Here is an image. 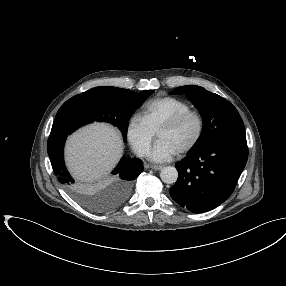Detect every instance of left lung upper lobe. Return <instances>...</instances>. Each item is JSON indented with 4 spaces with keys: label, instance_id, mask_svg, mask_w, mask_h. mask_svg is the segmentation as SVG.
<instances>
[{
    "label": "left lung upper lobe",
    "instance_id": "obj_1",
    "mask_svg": "<svg viewBox=\"0 0 286 286\" xmlns=\"http://www.w3.org/2000/svg\"><path fill=\"white\" fill-rule=\"evenodd\" d=\"M171 94H185L202 116L203 130L191 150H197L217 141L246 142L241 116L226 99L196 85L178 87Z\"/></svg>",
    "mask_w": 286,
    "mask_h": 286
}]
</instances>
